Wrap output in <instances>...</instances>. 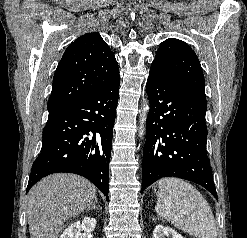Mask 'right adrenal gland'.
I'll use <instances>...</instances> for the list:
<instances>
[{"label":"right adrenal gland","instance_id":"2a0ac1e0","mask_svg":"<svg viewBox=\"0 0 247 238\" xmlns=\"http://www.w3.org/2000/svg\"><path fill=\"white\" fill-rule=\"evenodd\" d=\"M96 203H97V198H95V201H94V203L92 204V206H91V207H88V208L86 209V212H87V211H90V210H92V209L97 210L98 208L96 207Z\"/></svg>","mask_w":247,"mask_h":238}]
</instances>
